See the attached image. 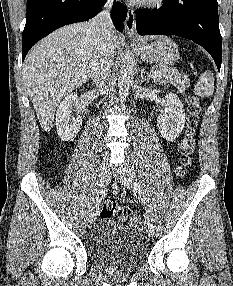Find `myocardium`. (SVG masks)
Segmentation results:
<instances>
[{
  "instance_id": "f54148a6",
  "label": "myocardium",
  "mask_w": 233,
  "mask_h": 286,
  "mask_svg": "<svg viewBox=\"0 0 233 286\" xmlns=\"http://www.w3.org/2000/svg\"><path fill=\"white\" fill-rule=\"evenodd\" d=\"M165 0H142L135 2L137 5L147 8H156L164 4Z\"/></svg>"
}]
</instances>
